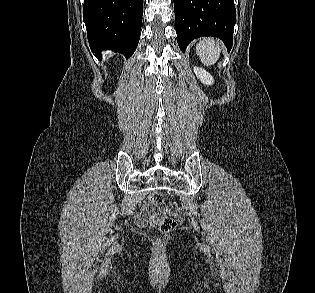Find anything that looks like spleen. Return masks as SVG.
<instances>
[{
    "label": "spleen",
    "instance_id": "1",
    "mask_svg": "<svg viewBox=\"0 0 315 293\" xmlns=\"http://www.w3.org/2000/svg\"><path fill=\"white\" fill-rule=\"evenodd\" d=\"M196 53L201 59V62L206 65H213L217 62L221 53V44L213 38L202 39L196 45Z\"/></svg>",
    "mask_w": 315,
    "mask_h": 293
}]
</instances>
